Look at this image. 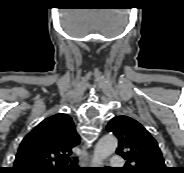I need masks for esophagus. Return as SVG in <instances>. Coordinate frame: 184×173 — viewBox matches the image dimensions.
<instances>
[{"mask_svg":"<svg viewBox=\"0 0 184 173\" xmlns=\"http://www.w3.org/2000/svg\"><path fill=\"white\" fill-rule=\"evenodd\" d=\"M91 154L87 151V148L83 146L79 161L82 166L90 165Z\"/></svg>","mask_w":184,"mask_h":173,"instance_id":"1","label":"esophagus"}]
</instances>
